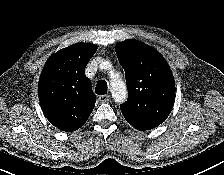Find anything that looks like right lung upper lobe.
Returning a JSON list of instances; mask_svg holds the SVG:
<instances>
[{"label": "right lung upper lobe", "mask_w": 224, "mask_h": 175, "mask_svg": "<svg viewBox=\"0 0 224 175\" xmlns=\"http://www.w3.org/2000/svg\"><path fill=\"white\" fill-rule=\"evenodd\" d=\"M96 51L93 44H73L52 55L42 71L38 85L41 108L60 130L79 129L94 109L96 96L85 68Z\"/></svg>", "instance_id": "1"}]
</instances>
